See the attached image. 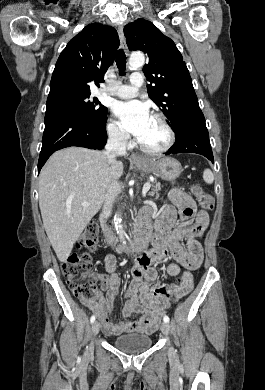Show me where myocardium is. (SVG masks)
I'll return each mask as SVG.
<instances>
[{"label":"myocardium","mask_w":265,"mask_h":390,"mask_svg":"<svg viewBox=\"0 0 265 390\" xmlns=\"http://www.w3.org/2000/svg\"><path fill=\"white\" fill-rule=\"evenodd\" d=\"M151 117L154 118L155 120H157L164 128V130L167 134V139H166L165 143L159 148H149V147L145 146L144 144H142L140 142V140L138 139L137 144H138V147L140 148V150L146 154L160 155V154L167 152L173 146V144L175 142V132H174L173 128L171 127V125L169 124V122L166 120V118L163 115H161L159 113H154V114H152Z\"/></svg>","instance_id":"myocardium-1"}]
</instances>
